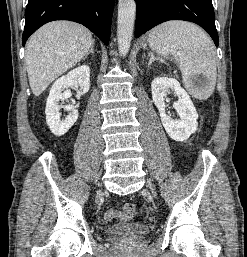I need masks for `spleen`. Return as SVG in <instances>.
Listing matches in <instances>:
<instances>
[{
	"label": "spleen",
	"mask_w": 247,
	"mask_h": 257,
	"mask_svg": "<svg viewBox=\"0 0 247 257\" xmlns=\"http://www.w3.org/2000/svg\"><path fill=\"white\" fill-rule=\"evenodd\" d=\"M150 47L160 55H173L179 62L183 83L199 99H207L216 85L217 69L214 44L205 32L193 23L168 21L149 34ZM202 76L197 87L194 79Z\"/></svg>",
	"instance_id": "1"
}]
</instances>
